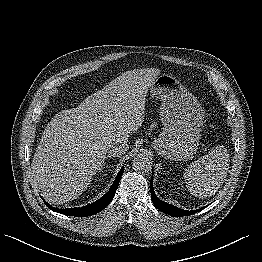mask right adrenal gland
I'll use <instances>...</instances> for the list:
<instances>
[{"label":"right adrenal gland","mask_w":262,"mask_h":262,"mask_svg":"<svg viewBox=\"0 0 262 262\" xmlns=\"http://www.w3.org/2000/svg\"><path fill=\"white\" fill-rule=\"evenodd\" d=\"M107 158H112V157H111V156H107V157L104 159L102 166H105V160H106ZM102 166H101L100 170L103 169Z\"/></svg>","instance_id":"2a0ac1e0"}]
</instances>
